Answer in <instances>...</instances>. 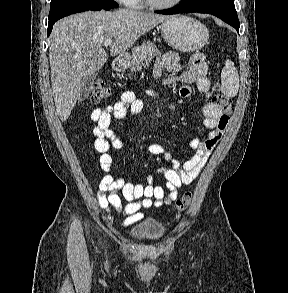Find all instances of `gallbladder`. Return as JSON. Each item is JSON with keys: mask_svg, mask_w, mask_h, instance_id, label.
<instances>
[{"mask_svg": "<svg viewBox=\"0 0 288 293\" xmlns=\"http://www.w3.org/2000/svg\"><path fill=\"white\" fill-rule=\"evenodd\" d=\"M96 77L97 73H93L82 80L79 93V101H84L88 98Z\"/></svg>", "mask_w": 288, "mask_h": 293, "instance_id": "obj_1", "label": "gallbladder"}]
</instances>
